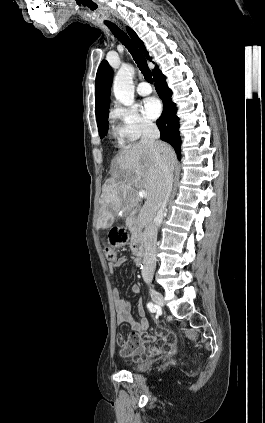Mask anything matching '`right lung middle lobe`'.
Returning <instances> with one entry per match:
<instances>
[{"instance_id":"right-lung-middle-lobe-1","label":"right lung middle lobe","mask_w":265,"mask_h":423,"mask_svg":"<svg viewBox=\"0 0 265 423\" xmlns=\"http://www.w3.org/2000/svg\"><path fill=\"white\" fill-rule=\"evenodd\" d=\"M100 138H104L108 132V114L98 124Z\"/></svg>"}]
</instances>
